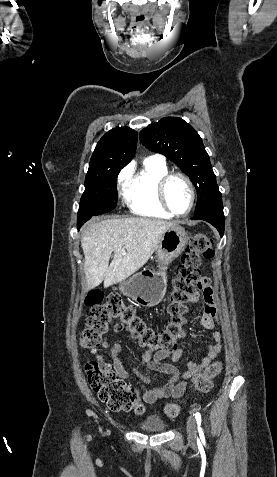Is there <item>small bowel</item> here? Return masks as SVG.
Returning <instances> with one entry per match:
<instances>
[{"label":"small bowel","mask_w":277,"mask_h":477,"mask_svg":"<svg viewBox=\"0 0 277 477\" xmlns=\"http://www.w3.org/2000/svg\"><path fill=\"white\" fill-rule=\"evenodd\" d=\"M201 289V295H197L192 302L204 304L201 324L205 329L211 331L214 342L208 345L207 355L203 359L188 362L186 369L182 372L176 365L183 355L182 349L158 351L154 355L150 351H146L142 355V361L147 365L148 369L170 376L168 382L162 387L147 388V386L151 385V379L140 373L136 367L133 368V372L141 380L143 399L146 403L152 404L159 399L181 397L187 390L190 380L196 374L206 370L222 349V337L215 330L218 323V300L214 288L210 285L209 278L202 280ZM123 329L124 326L122 324H117L114 327L115 332H120ZM101 346L110 351L112 367L117 376L122 380L128 379L129 371L125 368L120 357L122 346L119 343H112L107 337L102 340ZM90 352L96 360L106 362L105 356L97 348H91ZM167 359L171 362H166Z\"/></svg>","instance_id":"c3829d8e"}]
</instances>
